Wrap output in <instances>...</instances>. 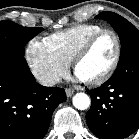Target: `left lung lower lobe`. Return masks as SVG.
Wrapping results in <instances>:
<instances>
[{"label": "left lung lower lobe", "instance_id": "1", "mask_svg": "<svg viewBox=\"0 0 139 139\" xmlns=\"http://www.w3.org/2000/svg\"><path fill=\"white\" fill-rule=\"evenodd\" d=\"M92 104L86 115L91 132L100 139H125L139 129V51L118 63L100 87L89 90Z\"/></svg>", "mask_w": 139, "mask_h": 139}]
</instances>
